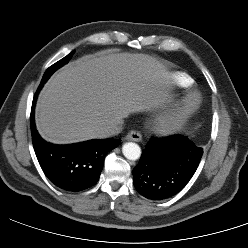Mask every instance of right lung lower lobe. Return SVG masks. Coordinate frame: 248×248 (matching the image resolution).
<instances>
[{
    "label": "right lung lower lobe",
    "mask_w": 248,
    "mask_h": 248,
    "mask_svg": "<svg viewBox=\"0 0 248 248\" xmlns=\"http://www.w3.org/2000/svg\"><path fill=\"white\" fill-rule=\"evenodd\" d=\"M45 82L41 81L35 93L30 116L32 142L37 159L45 175L57 187L72 192L85 190L97 183L105 156L121 140L94 139L71 145H54L43 140L35 128L34 107Z\"/></svg>",
    "instance_id": "right-lung-lower-lobe-1"
}]
</instances>
